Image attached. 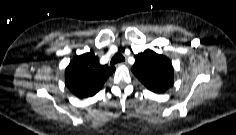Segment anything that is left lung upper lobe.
<instances>
[{
	"instance_id": "obj_1",
	"label": "left lung upper lobe",
	"mask_w": 236,
	"mask_h": 135,
	"mask_svg": "<svg viewBox=\"0 0 236 135\" xmlns=\"http://www.w3.org/2000/svg\"><path fill=\"white\" fill-rule=\"evenodd\" d=\"M135 59L132 72L150 91L163 93L173 85L174 70L166 56L147 49Z\"/></svg>"
}]
</instances>
